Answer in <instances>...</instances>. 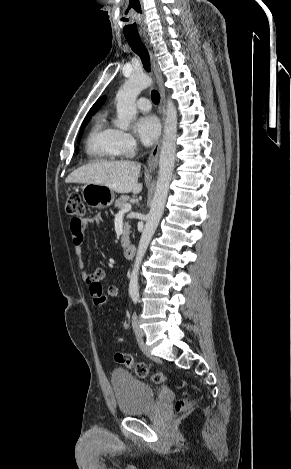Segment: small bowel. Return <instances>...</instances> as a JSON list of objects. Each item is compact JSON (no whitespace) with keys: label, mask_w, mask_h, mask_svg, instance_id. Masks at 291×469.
I'll return each instance as SVG.
<instances>
[{"label":"small bowel","mask_w":291,"mask_h":469,"mask_svg":"<svg viewBox=\"0 0 291 469\" xmlns=\"http://www.w3.org/2000/svg\"><path fill=\"white\" fill-rule=\"evenodd\" d=\"M101 221L100 216H94L84 219L73 218L70 221V230L72 242L74 244V252L78 258L77 265L80 269L84 267L83 261V250L82 243L84 241L85 229L90 223H99ZM106 277V272L104 269L97 267L92 272L85 274V279L89 285L90 293L93 299L99 294L97 291H94V287L100 288V293H103L101 281ZM119 295V288L117 286H110L107 290V296L110 298H116Z\"/></svg>","instance_id":"c3829d8e"}]
</instances>
